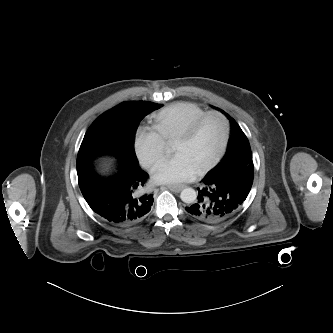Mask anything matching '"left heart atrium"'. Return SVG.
I'll return each instance as SVG.
<instances>
[{"mask_svg": "<svg viewBox=\"0 0 333 333\" xmlns=\"http://www.w3.org/2000/svg\"><path fill=\"white\" fill-rule=\"evenodd\" d=\"M197 171L184 155L175 154L157 167L154 178L160 183L179 184L193 180Z\"/></svg>", "mask_w": 333, "mask_h": 333, "instance_id": "1", "label": "left heart atrium"}]
</instances>
